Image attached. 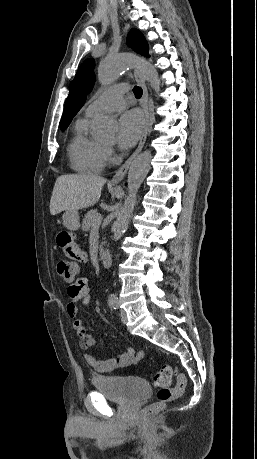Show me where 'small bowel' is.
<instances>
[{"label":"small bowel","instance_id":"1","mask_svg":"<svg viewBox=\"0 0 257 459\" xmlns=\"http://www.w3.org/2000/svg\"><path fill=\"white\" fill-rule=\"evenodd\" d=\"M55 242L58 244L60 251L63 252L66 261H69V264H88L86 249H83L79 240L76 239L74 230H59L58 235L55 237ZM67 296L66 315L72 320V326L79 338L80 347L86 350L95 346L97 344L96 339L86 332L82 321L77 317L78 304L81 303L83 306H87L91 300L87 278L80 277L75 280L67 288ZM143 356L144 352L142 350L136 351L128 347L123 354L114 358L100 360L92 354L86 353L84 354V359L94 370L110 372L118 367L130 366L141 360Z\"/></svg>","mask_w":257,"mask_h":459}]
</instances>
